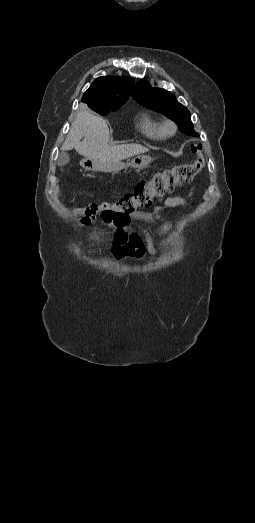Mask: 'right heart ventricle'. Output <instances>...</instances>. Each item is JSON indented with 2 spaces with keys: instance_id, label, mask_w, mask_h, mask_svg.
Returning a JSON list of instances; mask_svg holds the SVG:
<instances>
[{
  "instance_id": "e07e8e85",
  "label": "right heart ventricle",
  "mask_w": 255,
  "mask_h": 523,
  "mask_svg": "<svg viewBox=\"0 0 255 523\" xmlns=\"http://www.w3.org/2000/svg\"><path fill=\"white\" fill-rule=\"evenodd\" d=\"M141 131L150 138H161L164 136V130L161 122L151 116L145 114L140 123Z\"/></svg>"
}]
</instances>
